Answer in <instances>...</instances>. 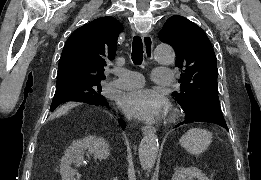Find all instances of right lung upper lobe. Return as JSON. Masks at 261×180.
<instances>
[{
	"label": "right lung upper lobe",
	"instance_id": "obj_1",
	"mask_svg": "<svg viewBox=\"0 0 261 180\" xmlns=\"http://www.w3.org/2000/svg\"><path fill=\"white\" fill-rule=\"evenodd\" d=\"M122 30L120 22L108 16L76 29L64 45L57 83L105 79L106 60L114 59L117 37Z\"/></svg>",
	"mask_w": 261,
	"mask_h": 180
}]
</instances>
